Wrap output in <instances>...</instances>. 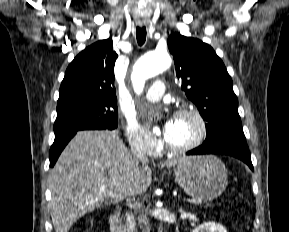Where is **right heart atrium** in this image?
Instances as JSON below:
<instances>
[{"label": "right heart atrium", "mask_w": 289, "mask_h": 232, "mask_svg": "<svg viewBox=\"0 0 289 232\" xmlns=\"http://www.w3.org/2000/svg\"><path fill=\"white\" fill-rule=\"evenodd\" d=\"M125 133L131 148L135 151L154 154L159 148V142L152 138L134 120L128 119L125 125Z\"/></svg>", "instance_id": "d8ad5b80"}]
</instances>
